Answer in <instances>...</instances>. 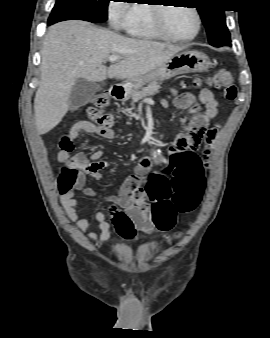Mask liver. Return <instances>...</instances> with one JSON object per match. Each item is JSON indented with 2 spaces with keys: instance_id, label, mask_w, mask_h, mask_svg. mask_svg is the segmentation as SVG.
I'll list each match as a JSON object with an SVG mask.
<instances>
[{
  "instance_id": "liver-1",
  "label": "liver",
  "mask_w": 270,
  "mask_h": 338,
  "mask_svg": "<svg viewBox=\"0 0 270 338\" xmlns=\"http://www.w3.org/2000/svg\"><path fill=\"white\" fill-rule=\"evenodd\" d=\"M185 46L123 37L84 21L51 26L41 49V81L34 99L39 134L57 126L69 109L70 92L79 79L132 80L159 67ZM111 55L122 59L108 68Z\"/></svg>"
}]
</instances>
